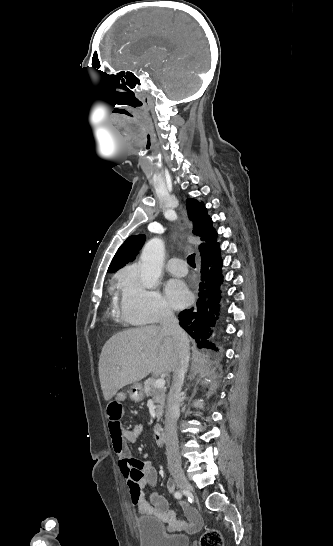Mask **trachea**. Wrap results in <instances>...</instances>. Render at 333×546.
I'll use <instances>...</instances> for the list:
<instances>
[{"label": "trachea", "mask_w": 333, "mask_h": 546, "mask_svg": "<svg viewBox=\"0 0 333 546\" xmlns=\"http://www.w3.org/2000/svg\"><path fill=\"white\" fill-rule=\"evenodd\" d=\"M187 262L191 267L195 268V266H196V264H195V254L189 255L188 258H187Z\"/></svg>", "instance_id": "trachea-1"}]
</instances>
